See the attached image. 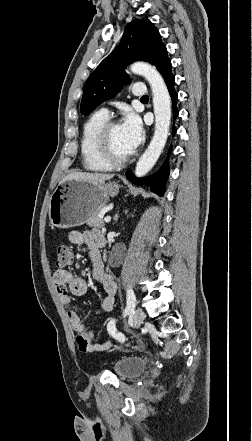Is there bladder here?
<instances>
[{
	"label": "bladder",
	"instance_id": "1",
	"mask_svg": "<svg viewBox=\"0 0 252 441\" xmlns=\"http://www.w3.org/2000/svg\"><path fill=\"white\" fill-rule=\"evenodd\" d=\"M146 367L147 361L143 357H124L115 362L114 371L122 379H132L140 376Z\"/></svg>",
	"mask_w": 252,
	"mask_h": 441
}]
</instances>
